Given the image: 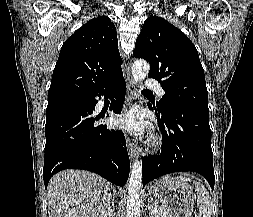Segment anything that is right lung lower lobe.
I'll return each instance as SVG.
<instances>
[{"instance_id": "obj_1", "label": "right lung lower lobe", "mask_w": 253, "mask_h": 217, "mask_svg": "<svg viewBox=\"0 0 253 217\" xmlns=\"http://www.w3.org/2000/svg\"><path fill=\"white\" fill-rule=\"evenodd\" d=\"M125 88L121 73L89 96L46 109L45 187L55 173L64 169L88 170L118 186L125 185L130 161L124 135L121 130L97 124L104 115L94 116L95 98L102 95L110 97V110L120 113Z\"/></svg>"}]
</instances>
